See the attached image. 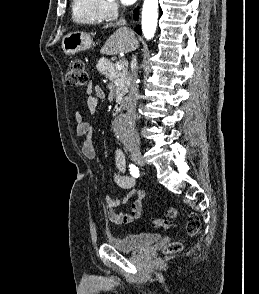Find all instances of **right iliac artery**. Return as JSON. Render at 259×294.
Listing matches in <instances>:
<instances>
[{
  "mask_svg": "<svg viewBox=\"0 0 259 294\" xmlns=\"http://www.w3.org/2000/svg\"><path fill=\"white\" fill-rule=\"evenodd\" d=\"M130 174L135 177L138 178L139 177V169L138 167H136L134 164H130Z\"/></svg>",
  "mask_w": 259,
  "mask_h": 294,
  "instance_id": "obj_1",
  "label": "right iliac artery"
}]
</instances>
